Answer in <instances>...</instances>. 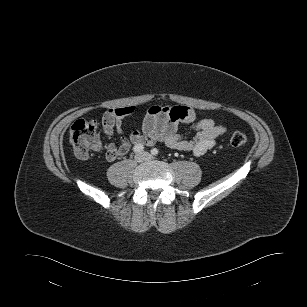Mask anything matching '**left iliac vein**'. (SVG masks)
<instances>
[{"label":"left iliac vein","instance_id":"left-iliac-vein-1","mask_svg":"<svg viewBox=\"0 0 307 307\" xmlns=\"http://www.w3.org/2000/svg\"><path fill=\"white\" fill-rule=\"evenodd\" d=\"M143 154L145 156V160H151L152 159V156L149 153L144 152Z\"/></svg>","mask_w":307,"mask_h":307}]
</instances>
